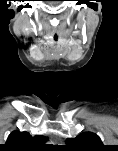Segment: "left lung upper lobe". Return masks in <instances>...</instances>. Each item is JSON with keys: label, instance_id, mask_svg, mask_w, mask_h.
Instances as JSON below:
<instances>
[{"label": "left lung upper lobe", "instance_id": "left-lung-upper-lobe-1", "mask_svg": "<svg viewBox=\"0 0 118 151\" xmlns=\"http://www.w3.org/2000/svg\"><path fill=\"white\" fill-rule=\"evenodd\" d=\"M67 147L73 151H95L103 147L100 138L91 132H85L76 138H68L66 140Z\"/></svg>", "mask_w": 118, "mask_h": 151}]
</instances>
